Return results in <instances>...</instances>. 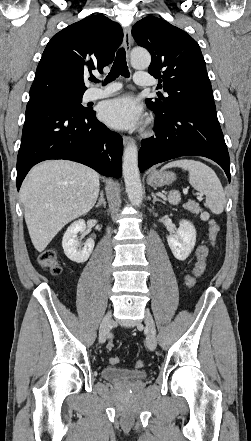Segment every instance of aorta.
I'll return each mask as SVG.
<instances>
[{
    "mask_svg": "<svg viewBox=\"0 0 251 441\" xmlns=\"http://www.w3.org/2000/svg\"><path fill=\"white\" fill-rule=\"evenodd\" d=\"M151 56L144 49L131 52V64L137 69H146L150 65ZM122 172L126 192L133 206H140L143 201V190L138 168V149L135 143L127 145L123 153Z\"/></svg>",
    "mask_w": 251,
    "mask_h": 441,
    "instance_id": "762f6f07",
    "label": "aorta"
}]
</instances>
